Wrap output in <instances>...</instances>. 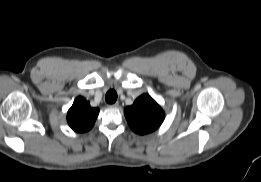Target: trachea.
<instances>
[{"label":"trachea","mask_w":261,"mask_h":182,"mask_svg":"<svg viewBox=\"0 0 261 182\" xmlns=\"http://www.w3.org/2000/svg\"><path fill=\"white\" fill-rule=\"evenodd\" d=\"M105 100L109 104H113L117 100V93L115 90L111 89L106 93Z\"/></svg>","instance_id":"3493384b"}]
</instances>
